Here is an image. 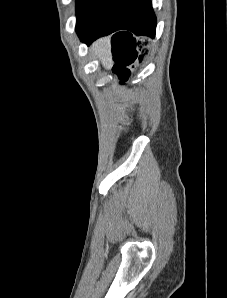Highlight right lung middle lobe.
<instances>
[{
	"instance_id": "obj_1",
	"label": "right lung middle lobe",
	"mask_w": 227,
	"mask_h": 298,
	"mask_svg": "<svg viewBox=\"0 0 227 298\" xmlns=\"http://www.w3.org/2000/svg\"><path fill=\"white\" fill-rule=\"evenodd\" d=\"M110 1L111 0H77V33L82 31Z\"/></svg>"
}]
</instances>
